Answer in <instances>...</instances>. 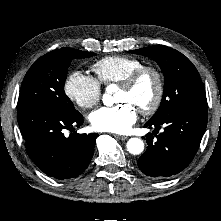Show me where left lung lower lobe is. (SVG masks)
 Masks as SVG:
<instances>
[{
	"label": "left lung lower lobe",
	"mask_w": 221,
	"mask_h": 221,
	"mask_svg": "<svg viewBox=\"0 0 221 221\" xmlns=\"http://www.w3.org/2000/svg\"><path fill=\"white\" fill-rule=\"evenodd\" d=\"M207 103L180 108L165 118L147 122L145 127H164L159 135L148 133V147L138 159L140 170L147 176L163 179L186 168L195 156L207 125ZM157 139H154V136Z\"/></svg>",
	"instance_id": "0a47b994"
}]
</instances>
